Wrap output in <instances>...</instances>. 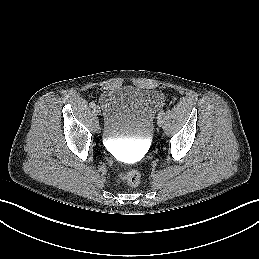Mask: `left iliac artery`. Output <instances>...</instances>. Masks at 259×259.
<instances>
[{"label": "left iliac artery", "mask_w": 259, "mask_h": 259, "mask_svg": "<svg viewBox=\"0 0 259 259\" xmlns=\"http://www.w3.org/2000/svg\"><path fill=\"white\" fill-rule=\"evenodd\" d=\"M164 115H165V112L164 111H160L158 113V119H161L162 117H164Z\"/></svg>", "instance_id": "left-iliac-artery-1"}]
</instances>
